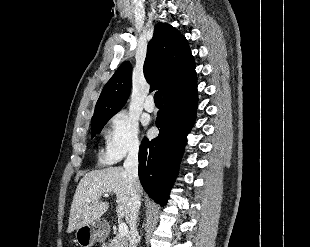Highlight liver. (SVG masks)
<instances>
[{
    "label": "liver",
    "instance_id": "liver-1",
    "mask_svg": "<svg viewBox=\"0 0 310 247\" xmlns=\"http://www.w3.org/2000/svg\"><path fill=\"white\" fill-rule=\"evenodd\" d=\"M140 189V195H141ZM116 195V212L118 219L128 222L130 214L129 179L122 167H108L86 173L75 191L70 209L67 232L99 219L109 208L108 202L101 201V196Z\"/></svg>",
    "mask_w": 310,
    "mask_h": 247
}]
</instances>
